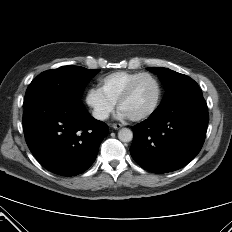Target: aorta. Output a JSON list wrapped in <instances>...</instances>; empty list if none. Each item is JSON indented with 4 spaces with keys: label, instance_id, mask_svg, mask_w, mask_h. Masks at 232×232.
Masks as SVG:
<instances>
[{
    "label": "aorta",
    "instance_id": "1",
    "mask_svg": "<svg viewBox=\"0 0 232 232\" xmlns=\"http://www.w3.org/2000/svg\"><path fill=\"white\" fill-rule=\"evenodd\" d=\"M118 138L122 142H130L133 138V133L130 129L128 128H122L118 132Z\"/></svg>",
    "mask_w": 232,
    "mask_h": 232
}]
</instances>
